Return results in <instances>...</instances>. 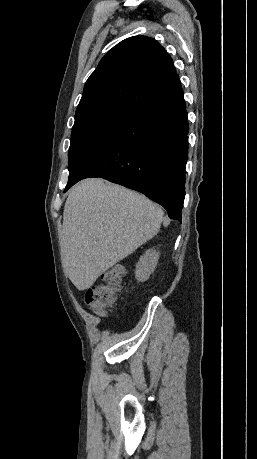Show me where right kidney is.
I'll return each instance as SVG.
<instances>
[{
    "instance_id": "obj_1",
    "label": "right kidney",
    "mask_w": 257,
    "mask_h": 459,
    "mask_svg": "<svg viewBox=\"0 0 257 459\" xmlns=\"http://www.w3.org/2000/svg\"><path fill=\"white\" fill-rule=\"evenodd\" d=\"M159 259V252L156 250H147L140 257L136 264L135 277L138 281L144 282L154 272Z\"/></svg>"
}]
</instances>
